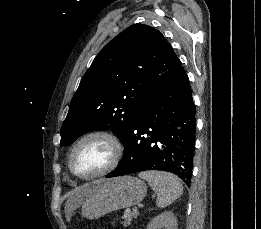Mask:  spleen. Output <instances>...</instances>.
<instances>
[{"label": "spleen", "mask_w": 261, "mask_h": 229, "mask_svg": "<svg viewBox=\"0 0 261 229\" xmlns=\"http://www.w3.org/2000/svg\"><path fill=\"white\" fill-rule=\"evenodd\" d=\"M140 179H145L157 193V207H168L179 199L183 193V187L179 177L165 171H143L139 173Z\"/></svg>", "instance_id": "obj_1"}]
</instances>
